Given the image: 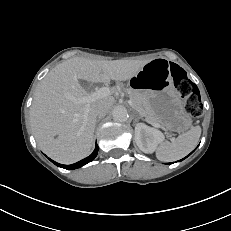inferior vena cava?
Returning a JSON list of instances; mask_svg holds the SVG:
<instances>
[{
	"instance_id": "obj_1",
	"label": "inferior vena cava",
	"mask_w": 231,
	"mask_h": 231,
	"mask_svg": "<svg viewBox=\"0 0 231 231\" xmlns=\"http://www.w3.org/2000/svg\"><path fill=\"white\" fill-rule=\"evenodd\" d=\"M109 107L104 103H99L95 108V114L98 118H102L107 115Z\"/></svg>"
}]
</instances>
